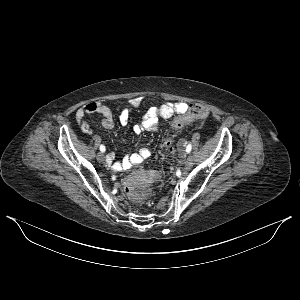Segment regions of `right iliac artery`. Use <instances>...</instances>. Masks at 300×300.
<instances>
[{
	"label": "right iliac artery",
	"mask_w": 300,
	"mask_h": 300,
	"mask_svg": "<svg viewBox=\"0 0 300 300\" xmlns=\"http://www.w3.org/2000/svg\"><path fill=\"white\" fill-rule=\"evenodd\" d=\"M105 150H106V149H105V146H104V145H101V146H100V151H101V152H105Z\"/></svg>",
	"instance_id": "right-iliac-artery-1"
}]
</instances>
